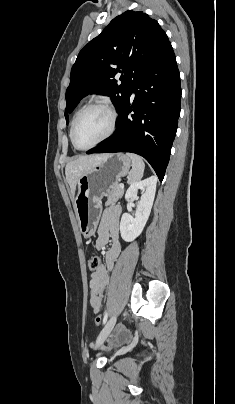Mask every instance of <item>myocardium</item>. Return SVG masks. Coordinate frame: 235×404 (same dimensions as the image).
Wrapping results in <instances>:
<instances>
[{
	"mask_svg": "<svg viewBox=\"0 0 235 404\" xmlns=\"http://www.w3.org/2000/svg\"><path fill=\"white\" fill-rule=\"evenodd\" d=\"M94 108H103L105 109L109 115H110V126L108 131L106 132V134L100 138L98 141H96L95 143H93L92 145L88 146V147H80L77 145L76 141H75V130H76V126L80 120V118L89 110L94 109ZM116 123H117V111L116 109L109 104L108 102L105 101H97V102H93L88 104L87 106H85L75 117L72 127H71V131H70V139L71 142L73 144V146L78 149V150H89L94 148L95 146H97L98 144L104 142L105 140H107L115 131L116 128Z\"/></svg>",
	"mask_w": 235,
	"mask_h": 404,
	"instance_id": "f54148a6",
	"label": "myocardium"
}]
</instances>
